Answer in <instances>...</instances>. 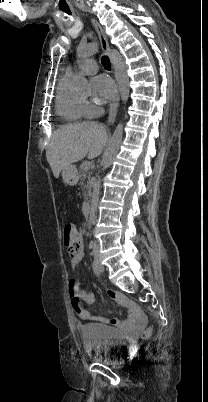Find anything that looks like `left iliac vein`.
<instances>
[{"mask_svg": "<svg viewBox=\"0 0 208 402\" xmlns=\"http://www.w3.org/2000/svg\"><path fill=\"white\" fill-rule=\"evenodd\" d=\"M100 269L103 271L104 270L103 266L100 265Z\"/></svg>", "mask_w": 208, "mask_h": 402, "instance_id": "obj_1", "label": "left iliac vein"}]
</instances>
